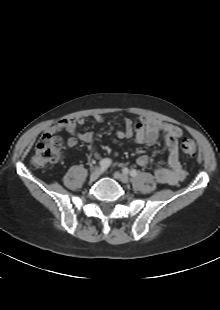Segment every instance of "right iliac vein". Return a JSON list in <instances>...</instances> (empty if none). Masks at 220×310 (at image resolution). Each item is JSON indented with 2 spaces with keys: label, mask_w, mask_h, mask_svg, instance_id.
Instances as JSON below:
<instances>
[{
  "label": "right iliac vein",
  "mask_w": 220,
  "mask_h": 310,
  "mask_svg": "<svg viewBox=\"0 0 220 310\" xmlns=\"http://www.w3.org/2000/svg\"><path fill=\"white\" fill-rule=\"evenodd\" d=\"M100 174H101V170H100V169L94 170V171L91 173V175H90V180H91V181H96V180L99 178Z\"/></svg>",
  "instance_id": "obj_1"
}]
</instances>
